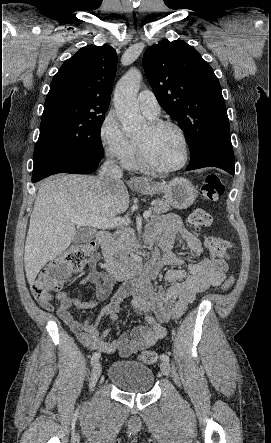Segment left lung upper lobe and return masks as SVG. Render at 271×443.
Listing matches in <instances>:
<instances>
[{
	"mask_svg": "<svg viewBox=\"0 0 271 443\" xmlns=\"http://www.w3.org/2000/svg\"><path fill=\"white\" fill-rule=\"evenodd\" d=\"M143 67L153 92L187 137L190 162L204 155L234 157L221 86L210 65L187 43L149 47Z\"/></svg>",
	"mask_w": 271,
	"mask_h": 443,
	"instance_id": "left-lung-upper-lobe-1",
	"label": "left lung upper lobe"
}]
</instances>
